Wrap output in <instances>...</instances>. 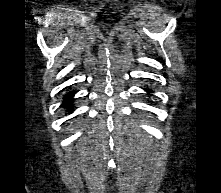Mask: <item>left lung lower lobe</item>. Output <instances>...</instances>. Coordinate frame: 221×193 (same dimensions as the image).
<instances>
[{"label":"left lung lower lobe","mask_w":221,"mask_h":193,"mask_svg":"<svg viewBox=\"0 0 221 193\" xmlns=\"http://www.w3.org/2000/svg\"><path fill=\"white\" fill-rule=\"evenodd\" d=\"M148 93H151L152 92V89H150V88H146L145 89Z\"/></svg>","instance_id":"left-lung-lower-lobe-1"}]
</instances>
